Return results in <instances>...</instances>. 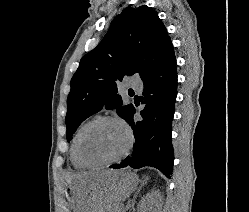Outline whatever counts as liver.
<instances>
[{
  "label": "liver",
  "instance_id": "6515ba94",
  "mask_svg": "<svg viewBox=\"0 0 249 212\" xmlns=\"http://www.w3.org/2000/svg\"><path fill=\"white\" fill-rule=\"evenodd\" d=\"M85 180L93 190L95 200L92 204L94 212H102L106 204H122L138 186V176L129 170H105V172H77L67 176V182Z\"/></svg>",
  "mask_w": 249,
  "mask_h": 212
}]
</instances>
